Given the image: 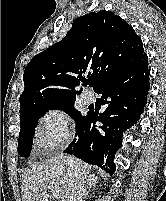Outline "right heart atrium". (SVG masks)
<instances>
[{"label":"right heart atrium","mask_w":166,"mask_h":201,"mask_svg":"<svg viewBox=\"0 0 166 201\" xmlns=\"http://www.w3.org/2000/svg\"><path fill=\"white\" fill-rule=\"evenodd\" d=\"M71 138V123L63 110H48L39 119L36 140L43 152L50 153L57 150L67 144Z\"/></svg>","instance_id":"obj_1"}]
</instances>
